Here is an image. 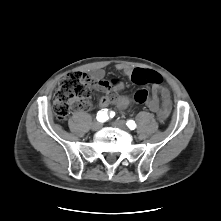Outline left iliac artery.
<instances>
[{"label": "left iliac artery", "instance_id": "44dca946", "mask_svg": "<svg viewBox=\"0 0 221 221\" xmlns=\"http://www.w3.org/2000/svg\"><path fill=\"white\" fill-rule=\"evenodd\" d=\"M126 125L128 126V128H130L131 130H134L136 128V123L133 120H128Z\"/></svg>", "mask_w": 221, "mask_h": 221}]
</instances>
